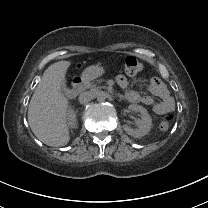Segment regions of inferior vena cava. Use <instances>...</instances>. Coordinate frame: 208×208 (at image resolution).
Listing matches in <instances>:
<instances>
[{"label":"inferior vena cava","mask_w":208,"mask_h":208,"mask_svg":"<svg viewBox=\"0 0 208 208\" xmlns=\"http://www.w3.org/2000/svg\"><path fill=\"white\" fill-rule=\"evenodd\" d=\"M94 98V94L90 91L83 92L79 95V102L84 104L88 103Z\"/></svg>","instance_id":"obj_1"}]
</instances>
